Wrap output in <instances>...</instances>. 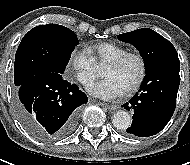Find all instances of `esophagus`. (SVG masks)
Returning a JSON list of instances; mask_svg holds the SVG:
<instances>
[{
  "label": "esophagus",
  "instance_id": "1",
  "mask_svg": "<svg viewBox=\"0 0 190 165\" xmlns=\"http://www.w3.org/2000/svg\"><path fill=\"white\" fill-rule=\"evenodd\" d=\"M98 104L103 106V107H106L110 110H116L118 108L116 105L108 104V103H104V102H99Z\"/></svg>",
  "mask_w": 190,
  "mask_h": 165
}]
</instances>
